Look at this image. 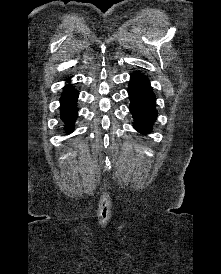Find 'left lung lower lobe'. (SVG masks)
<instances>
[{
    "label": "left lung lower lobe",
    "mask_w": 221,
    "mask_h": 274,
    "mask_svg": "<svg viewBox=\"0 0 221 274\" xmlns=\"http://www.w3.org/2000/svg\"><path fill=\"white\" fill-rule=\"evenodd\" d=\"M128 93L131 100L129 109L134 118V128L142 134L150 133L152 124L157 117V111L155 109V94L148 78L140 72L132 73Z\"/></svg>",
    "instance_id": "left-lung-lower-lobe-1"
}]
</instances>
